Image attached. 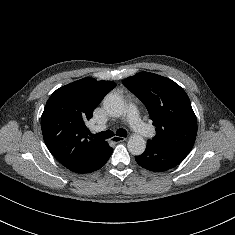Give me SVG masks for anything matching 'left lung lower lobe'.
<instances>
[{"mask_svg":"<svg viewBox=\"0 0 235 235\" xmlns=\"http://www.w3.org/2000/svg\"><path fill=\"white\" fill-rule=\"evenodd\" d=\"M189 152L147 141L145 152L135 156L136 162L151 171H166L180 164Z\"/></svg>","mask_w":235,"mask_h":235,"instance_id":"left-lung-lower-lobe-1","label":"left lung lower lobe"}]
</instances>
